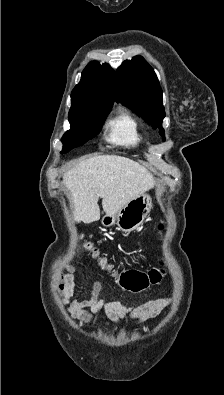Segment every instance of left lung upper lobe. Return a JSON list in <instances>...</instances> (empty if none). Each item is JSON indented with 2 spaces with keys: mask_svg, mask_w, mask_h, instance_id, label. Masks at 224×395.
Wrapping results in <instances>:
<instances>
[{
  "mask_svg": "<svg viewBox=\"0 0 224 395\" xmlns=\"http://www.w3.org/2000/svg\"><path fill=\"white\" fill-rule=\"evenodd\" d=\"M116 101L143 117L164 139L162 90L152 67L141 56L126 60L116 71Z\"/></svg>",
  "mask_w": 224,
  "mask_h": 395,
  "instance_id": "obj_1",
  "label": "left lung upper lobe"
}]
</instances>
